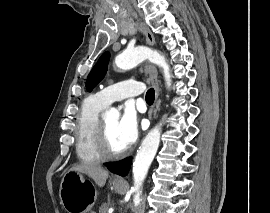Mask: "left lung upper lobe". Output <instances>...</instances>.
Listing matches in <instances>:
<instances>
[{
  "label": "left lung upper lobe",
  "mask_w": 270,
  "mask_h": 213,
  "mask_svg": "<svg viewBox=\"0 0 270 213\" xmlns=\"http://www.w3.org/2000/svg\"><path fill=\"white\" fill-rule=\"evenodd\" d=\"M110 53L105 52L101 55L96 65L93 67L92 71L90 72L87 82H86V89L91 91L96 85L104 78L107 72V65L109 62Z\"/></svg>",
  "instance_id": "obj_1"
}]
</instances>
